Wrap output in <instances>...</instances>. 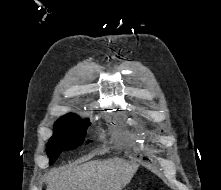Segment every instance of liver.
I'll return each mask as SVG.
<instances>
[{"instance_id": "1", "label": "liver", "mask_w": 221, "mask_h": 190, "mask_svg": "<svg viewBox=\"0 0 221 190\" xmlns=\"http://www.w3.org/2000/svg\"><path fill=\"white\" fill-rule=\"evenodd\" d=\"M138 167L118 157L62 167L46 175V190H122Z\"/></svg>"}]
</instances>
